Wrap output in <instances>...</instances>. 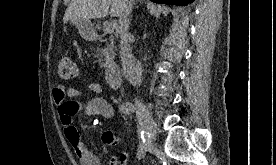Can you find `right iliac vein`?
I'll return each instance as SVG.
<instances>
[{
	"instance_id": "1",
	"label": "right iliac vein",
	"mask_w": 276,
	"mask_h": 165,
	"mask_svg": "<svg viewBox=\"0 0 276 165\" xmlns=\"http://www.w3.org/2000/svg\"><path fill=\"white\" fill-rule=\"evenodd\" d=\"M136 106L138 107V112L141 114L145 121L146 131L148 133L147 142H146V151L152 152L154 150V141H155V124L154 121L146 108V106L142 102H137Z\"/></svg>"
}]
</instances>
